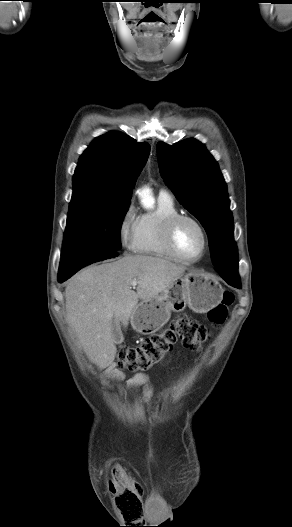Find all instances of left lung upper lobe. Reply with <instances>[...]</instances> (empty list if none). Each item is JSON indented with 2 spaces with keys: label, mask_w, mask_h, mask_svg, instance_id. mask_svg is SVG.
I'll return each mask as SVG.
<instances>
[{
  "label": "left lung upper lobe",
  "mask_w": 292,
  "mask_h": 527,
  "mask_svg": "<svg viewBox=\"0 0 292 527\" xmlns=\"http://www.w3.org/2000/svg\"><path fill=\"white\" fill-rule=\"evenodd\" d=\"M157 155L162 178L205 228L213 264L238 270L230 200L217 162L195 139L174 145L159 142Z\"/></svg>",
  "instance_id": "obj_1"
}]
</instances>
